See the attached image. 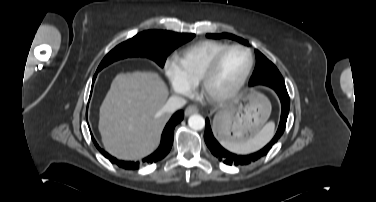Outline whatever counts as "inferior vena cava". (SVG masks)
<instances>
[{
    "instance_id": "602c4592",
    "label": "inferior vena cava",
    "mask_w": 376,
    "mask_h": 202,
    "mask_svg": "<svg viewBox=\"0 0 376 202\" xmlns=\"http://www.w3.org/2000/svg\"><path fill=\"white\" fill-rule=\"evenodd\" d=\"M186 104V100L179 96H171L164 107L162 108V111L165 113H174L176 110L182 108Z\"/></svg>"
}]
</instances>
